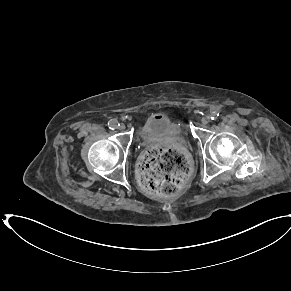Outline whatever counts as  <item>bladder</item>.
<instances>
[{"instance_id":"bladder-1","label":"bladder","mask_w":291,"mask_h":291,"mask_svg":"<svg viewBox=\"0 0 291 291\" xmlns=\"http://www.w3.org/2000/svg\"><path fill=\"white\" fill-rule=\"evenodd\" d=\"M184 135V124L163 114L148 117L138 130V137L140 139H153L160 136L183 139Z\"/></svg>"}]
</instances>
